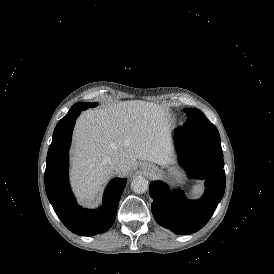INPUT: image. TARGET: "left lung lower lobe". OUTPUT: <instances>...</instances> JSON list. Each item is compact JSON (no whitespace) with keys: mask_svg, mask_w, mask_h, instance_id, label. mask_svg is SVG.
Wrapping results in <instances>:
<instances>
[{"mask_svg":"<svg viewBox=\"0 0 274 274\" xmlns=\"http://www.w3.org/2000/svg\"><path fill=\"white\" fill-rule=\"evenodd\" d=\"M175 142L180 163L189 176L205 180V193L199 200H188L179 190L171 192L164 183L151 182V209L159 225L177 235H187L209 221L223 197V153L218 131L180 126L175 132Z\"/></svg>","mask_w":274,"mask_h":274,"instance_id":"obj_1","label":"left lung lower lobe"}]
</instances>
